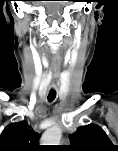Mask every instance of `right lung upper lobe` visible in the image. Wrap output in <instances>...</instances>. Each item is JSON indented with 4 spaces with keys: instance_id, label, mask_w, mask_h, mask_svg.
Wrapping results in <instances>:
<instances>
[{
    "instance_id": "right-lung-upper-lobe-1",
    "label": "right lung upper lobe",
    "mask_w": 118,
    "mask_h": 151,
    "mask_svg": "<svg viewBox=\"0 0 118 151\" xmlns=\"http://www.w3.org/2000/svg\"><path fill=\"white\" fill-rule=\"evenodd\" d=\"M39 137L24 121L11 123L0 135V151H35Z\"/></svg>"
}]
</instances>
